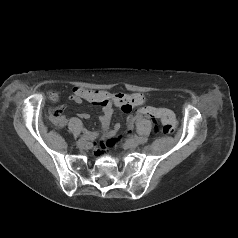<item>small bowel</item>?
<instances>
[{
	"mask_svg": "<svg viewBox=\"0 0 238 238\" xmlns=\"http://www.w3.org/2000/svg\"><path fill=\"white\" fill-rule=\"evenodd\" d=\"M69 99L77 104H81L83 101H87L91 104L100 106L102 109V115L100 116V123L103 132L108 136H114L120 129V125L116 124L112 129H109L111 117L113 114V103L120 107L124 112L130 113L134 107L141 106L145 98L140 93L123 94L117 93L111 95L103 90H91L81 87H75ZM57 114V118L54 115ZM79 117L82 119L89 118L87 113H80ZM52 121L58 127H63L67 123L66 117L62 114V108H58L52 111ZM136 117L130 116L127 119L128 127H132Z\"/></svg>",
	"mask_w": 238,
	"mask_h": 238,
	"instance_id": "c3829d8e",
	"label": "small bowel"
}]
</instances>
